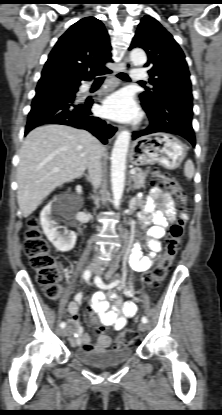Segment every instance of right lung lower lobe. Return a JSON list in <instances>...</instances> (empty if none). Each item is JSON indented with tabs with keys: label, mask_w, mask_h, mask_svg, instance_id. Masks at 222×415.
Instances as JSON below:
<instances>
[{
	"label": "right lung lower lobe",
	"mask_w": 222,
	"mask_h": 415,
	"mask_svg": "<svg viewBox=\"0 0 222 415\" xmlns=\"http://www.w3.org/2000/svg\"><path fill=\"white\" fill-rule=\"evenodd\" d=\"M110 72L109 70L103 74ZM93 78L79 80L57 71L42 72L28 115L25 135L39 125L63 124L85 129L106 144V123L92 115L90 109L93 101L88 100L85 103L76 101L80 82Z\"/></svg>",
	"instance_id": "obj_1"
}]
</instances>
